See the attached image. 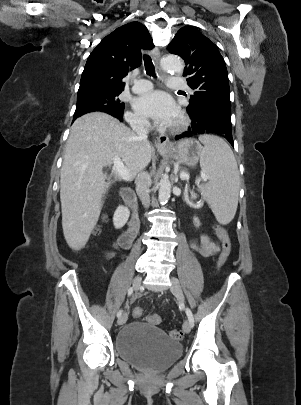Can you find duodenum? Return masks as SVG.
Segmentation results:
<instances>
[{"label":"duodenum","mask_w":301,"mask_h":405,"mask_svg":"<svg viewBox=\"0 0 301 405\" xmlns=\"http://www.w3.org/2000/svg\"><path fill=\"white\" fill-rule=\"evenodd\" d=\"M121 197L124 200L128 209L132 212V215L128 221V227H127L126 231L124 232V234L121 236L122 245L125 248H128L131 245V242L134 238L135 232L138 227V221H137L135 215L133 214V212L136 209V199H135V195H134L133 191L129 188H123L121 190Z\"/></svg>","instance_id":"410a0bca"}]
</instances>
